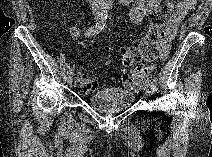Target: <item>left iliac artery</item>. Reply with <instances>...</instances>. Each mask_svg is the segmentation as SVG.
Masks as SVG:
<instances>
[{"label":"left iliac artery","instance_id":"obj_1","mask_svg":"<svg viewBox=\"0 0 212 157\" xmlns=\"http://www.w3.org/2000/svg\"><path fill=\"white\" fill-rule=\"evenodd\" d=\"M145 85L146 86H149L152 90H155L156 89L155 86H154V84L149 79H146L145 80Z\"/></svg>","mask_w":212,"mask_h":157}]
</instances>
